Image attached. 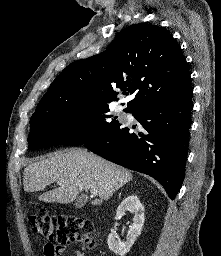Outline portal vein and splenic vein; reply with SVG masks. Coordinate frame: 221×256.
<instances>
[{
  "instance_id": "1",
  "label": "portal vein and splenic vein",
  "mask_w": 221,
  "mask_h": 256,
  "mask_svg": "<svg viewBox=\"0 0 221 256\" xmlns=\"http://www.w3.org/2000/svg\"><path fill=\"white\" fill-rule=\"evenodd\" d=\"M90 193H91L92 195H97V194H98V191L95 190V189H91V190H90Z\"/></svg>"
}]
</instances>
